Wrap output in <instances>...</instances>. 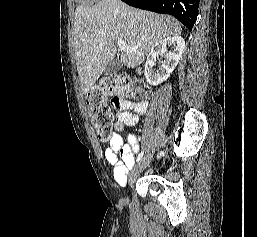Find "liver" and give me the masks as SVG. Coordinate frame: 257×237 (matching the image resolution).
I'll return each instance as SVG.
<instances>
[{
    "label": "liver",
    "mask_w": 257,
    "mask_h": 237,
    "mask_svg": "<svg viewBox=\"0 0 257 237\" xmlns=\"http://www.w3.org/2000/svg\"><path fill=\"white\" fill-rule=\"evenodd\" d=\"M179 22L167 15L135 9L120 0L81 4L75 10L73 38L77 71L86 94L117 53L115 43L124 40L120 61L128 68L140 65L157 42L180 35Z\"/></svg>",
    "instance_id": "obj_1"
}]
</instances>
